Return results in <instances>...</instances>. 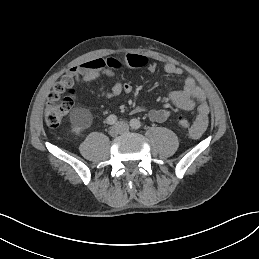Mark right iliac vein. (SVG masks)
I'll return each mask as SVG.
<instances>
[{
    "label": "right iliac vein",
    "instance_id": "63e3f726",
    "mask_svg": "<svg viewBox=\"0 0 259 259\" xmlns=\"http://www.w3.org/2000/svg\"><path fill=\"white\" fill-rule=\"evenodd\" d=\"M109 134L112 137H116L118 134H120V129L115 125L109 129Z\"/></svg>",
    "mask_w": 259,
    "mask_h": 259
}]
</instances>
